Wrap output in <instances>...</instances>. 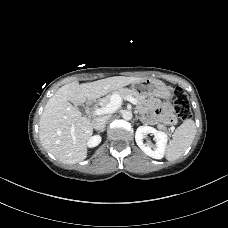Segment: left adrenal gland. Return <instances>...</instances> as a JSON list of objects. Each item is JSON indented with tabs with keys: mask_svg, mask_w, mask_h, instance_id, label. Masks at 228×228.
Returning <instances> with one entry per match:
<instances>
[{
	"mask_svg": "<svg viewBox=\"0 0 228 228\" xmlns=\"http://www.w3.org/2000/svg\"><path fill=\"white\" fill-rule=\"evenodd\" d=\"M136 118L139 119L142 123L146 124V121L143 117L137 116Z\"/></svg>",
	"mask_w": 228,
	"mask_h": 228,
	"instance_id": "left-adrenal-gland-1",
	"label": "left adrenal gland"
}]
</instances>
